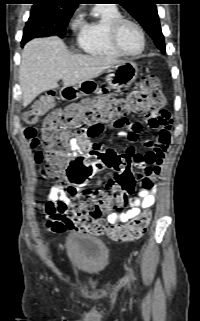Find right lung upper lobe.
<instances>
[{"label": "right lung upper lobe", "mask_w": 200, "mask_h": 321, "mask_svg": "<svg viewBox=\"0 0 200 321\" xmlns=\"http://www.w3.org/2000/svg\"><path fill=\"white\" fill-rule=\"evenodd\" d=\"M82 0H34V6H47L57 11H74Z\"/></svg>", "instance_id": "1"}]
</instances>
